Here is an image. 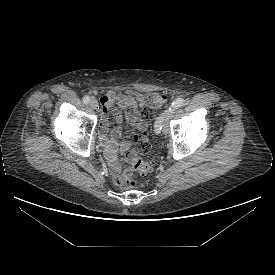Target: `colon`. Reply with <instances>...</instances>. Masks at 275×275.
I'll return each instance as SVG.
<instances>
[{
    "label": "colon",
    "instance_id": "5ec220e1",
    "mask_svg": "<svg viewBox=\"0 0 275 275\" xmlns=\"http://www.w3.org/2000/svg\"><path fill=\"white\" fill-rule=\"evenodd\" d=\"M166 102V96L158 93H151L143 98L145 109L143 111V117L147 121L153 119V110L161 107ZM133 143L136 145L137 150L140 153H147L150 151L152 145L150 141L149 130L145 128L142 133L133 132L132 134ZM152 161H145L140 157L134 156L133 167L135 173L128 179L121 182L120 186L126 189H131L138 184L139 177L148 173L152 169Z\"/></svg>",
    "mask_w": 275,
    "mask_h": 275
}]
</instances>
